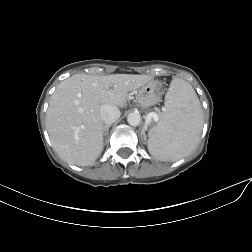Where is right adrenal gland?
Listing matches in <instances>:
<instances>
[{
	"mask_svg": "<svg viewBox=\"0 0 252 252\" xmlns=\"http://www.w3.org/2000/svg\"><path fill=\"white\" fill-rule=\"evenodd\" d=\"M112 126V124H107L104 126V135L107 137L109 134V128Z\"/></svg>",
	"mask_w": 252,
	"mask_h": 252,
	"instance_id": "obj_1",
	"label": "right adrenal gland"
}]
</instances>
